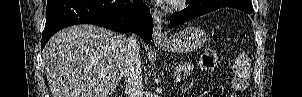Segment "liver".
I'll use <instances>...</instances> for the list:
<instances>
[{"label": "liver", "instance_id": "liver-1", "mask_svg": "<svg viewBox=\"0 0 302 97\" xmlns=\"http://www.w3.org/2000/svg\"><path fill=\"white\" fill-rule=\"evenodd\" d=\"M52 97H109L122 78L124 36L94 25L57 32L43 50Z\"/></svg>", "mask_w": 302, "mask_h": 97}]
</instances>
